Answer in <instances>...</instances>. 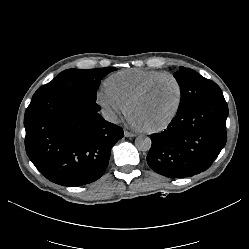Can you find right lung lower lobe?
<instances>
[{
  "label": "right lung lower lobe",
  "mask_w": 249,
  "mask_h": 249,
  "mask_svg": "<svg viewBox=\"0 0 249 249\" xmlns=\"http://www.w3.org/2000/svg\"><path fill=\"white\" fill-rule=\"evenodd\" d=\"M100 107L79 94L33 98L26 109L25 147L35 167L50 181L81 186L105 172L121 127L103 119Z\"/></svg>",
  "instance_id": "98d812e1"
}]
</instances>
